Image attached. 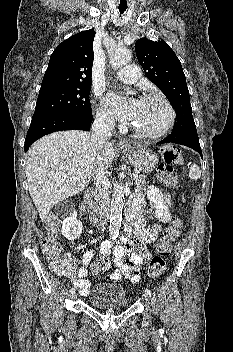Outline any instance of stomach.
Masks as SVG:
<instances>
[{"mask_svg":"<svg viewBox=\"0 0 233 352\" xmlns=\"http://www.w3.org/2000/svg\"><path fill=\"white\" fill-rule=\"evenodd\" d=\"M122 152L138 171L148 173L158 165L159 157L147 148H131Z\"/></svg>","mask_w":233,"mask_h":352,"instance_id":"obj_1","label":"stomach"}]
</instances>
